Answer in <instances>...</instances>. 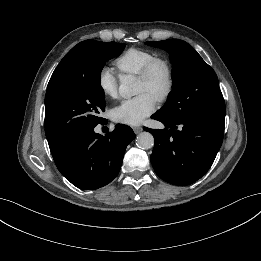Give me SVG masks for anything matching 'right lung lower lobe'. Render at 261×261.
I'll list each match as a JSON object with an SVG mask.
<instances>
[{
    "label": "right lung lower lobe",
    "instance_id": "right-lung-lower-lobe-1",
    "mask_svg": "<svg viewBox=\"0 0 261 261\" xmlns=\"http://www.w3.org/2000/svg\"><path fill=\"white\" fill-rule=\"evenodd\" d=\"M94 127L78 131L50 149L59 171L80 189L110 183L120 171L127 145L135 138L124 124L105 136L95 133Z\"/></svg>",
    "mask_w": 261,
    "mask_h": 261
}]
</instances>
